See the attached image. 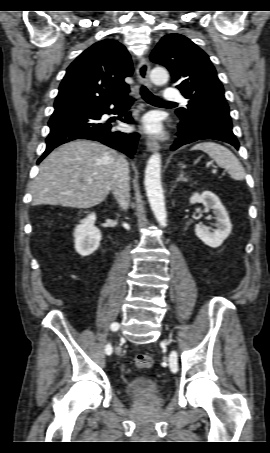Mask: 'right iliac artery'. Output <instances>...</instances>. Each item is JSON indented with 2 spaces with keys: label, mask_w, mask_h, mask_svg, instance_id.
<instances>
[{
  "label": "right iliac artery",
  "mask_w": 270,
  "mask_h": 453,
  "mask_svg": "<svg viewBox=\"0 0 270 453\" xmlns=\"http://www.w3.org/2000/svg\"><path fill=\"white\" fill-rule=\"evenodd\" d=\"M119 328V324L118 323H113L111 324V330L112 331H116L117 329ZM113 349H112V346L110 344H107L106 348H105V352L107 355H110L112 353Z\"/></svg>",
  "instance_id": "right-iliac-artery-1"
}]
</instances>
